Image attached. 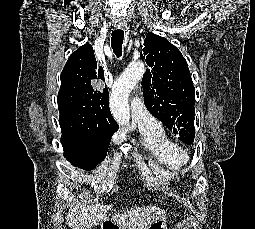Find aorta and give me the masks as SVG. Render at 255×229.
Returning a JSON list of instances; mask_svg holds the SVG:
<instances>
[{
  "instance_id": "762f6f07",
  "label": "aorta",
  "mask_w": 255,
  "mask_h": 229,
  "mask_svg": "<svg viewBox=\"0 0 255 229\" xmlns=\"http://www.w3.org/2000/svg\"><path fill=\"white\" fill-rule=\"evenodd\" d=\"M145 72L143 62H133L114 83L110 95V109L115 120L121 125H128L130 110L128 96Z\"/></svg>"
}]
</instances>
